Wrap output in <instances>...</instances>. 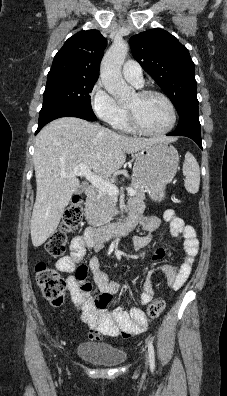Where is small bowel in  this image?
<instances>
[{"label":"small bowel","instance_id":"1","mask_svg":"<svg viewBox=\"0 0 227 396\" xmlns=\"http://www.w3.org/2000/svg\"><path fill=\"white\" fill-rule=\"evenodd\" d=\"M143 203L138 199L130 202V218L138 222L143 230L152 232L161 225V219L156 216L143 214ZM162 220L169 223L174 237L183 240L185 257L178 265H165L158 271H151L147 274L142 292L139 295L141 305H148L154 297V278L157 273L164 275L167 284L174 290H178L187 280L191 273L192 265L199 251V241L195 229L186 225L185 222L173 210H166L162 215ZM91 230H86L83 234L76 236L70 245V254L57 261V268L68 275L67 285L71 293L72 302L83 309L84 322L89 326V337L93 340H101L102 336L129 338L145 332L148 328L150 317L139 308L125 310L116 308L108 311L105 306L112 300V297L120 290V284L110 281L107 275L100 268V260L97 257L89 259L88 264L83 263L88 247H93L96 251L102 249V245H93L89 240ZM153 241L151 236H135L133 247L140 251L149 246ZM169 255V250L157 246L152 256V261L159 262ZM91 271L94 281L98 286L101 295L92 299V285L86 279Z\"/></svg>","mask_w":227,"mask_h":396}]
</instances>
